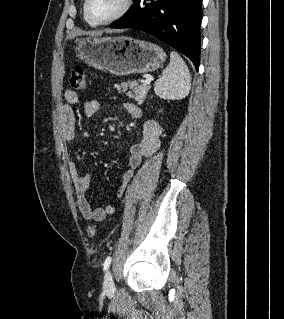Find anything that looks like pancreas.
Instances as JSON below:
<instances>
[{"label":"pancreas","instance_id":"1","mask_svg":"<svg viewBox=\"0 0 284 319\" xmlns=\"http://www.w3.org/2000/svg\"><path fill=\"white\" fill-rule=\"evenodd\" d=\"M139 82L140 81L124 82L121 83V85H115V88L119 91V93L126 92L128 89H131V91L127 93V96L135 99L138 104H142L150 89V85L144 82L139 84Z\"/></svg>","mask_w":284,"mask_h":319}]
</instances>
